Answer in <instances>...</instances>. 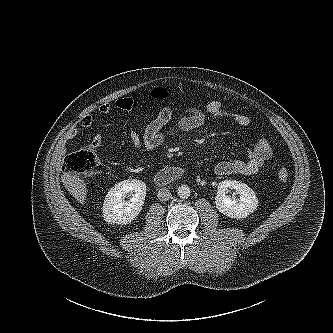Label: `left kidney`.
<instances>
[{
	"instance_id": "obj_1",
	"label": "left kidney",
	"mask_w": 333,
	"mask_h": 333,
	"mask_svg": "<svg viewBox=\"0 0 333 333\" xmlns=\"http://www.w3.org/2000/svg\"><path fill=\"white\" fill-rule=\"evenodd\" d=\"M228 189H234L239 194V199L226 195ZM215 204L223 215L241 219L246 218L257 209L258 199L247 184L236 180H224L218 184Z\"/></svg>"
}]
</instances>
